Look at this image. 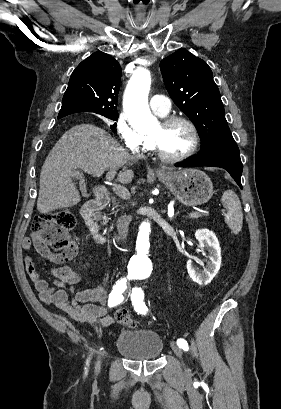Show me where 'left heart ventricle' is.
Returning a JSON list of instances; mask_svg holds the SVG:
<instances>
[{"mask_svg":"<svg viewBox=\"0 0 281 409\" xmlns=\"http://www.w3.org/2000/svg\"><path fill=\"white\" fill-rule=\"evenodd\" d=\"M147 136L153 137L160 150L169 156L181 155L191 142L190 132L181 122H174L166 127H161L158 123Z\"/></svg>","mask_w":281,"mask_h":409,"instance_id":"left-heart-ventricle-1","label":"left heart ventricle"}]
</instances>
